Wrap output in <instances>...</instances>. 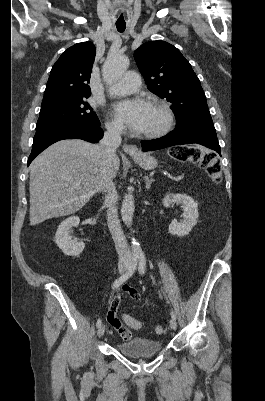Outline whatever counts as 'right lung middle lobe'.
<instances>
[{
    "instance_id": "obj_1",
    "label": "right lung middle lobe",
    "mask_w": 265,
    "mask_h": 401,
    "mask_svg": "<svg viewBox=\"0 0 265 401\" xmlns=\"http://www.w3.org/2000/svg\"><path fill=\"white\" fill-rule=\"evenodd\" d=\"M86 98L61 99L42 104L36 128L61 123L100 126V121Z\"/></svg>"
}]
</instances>
